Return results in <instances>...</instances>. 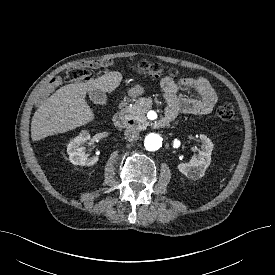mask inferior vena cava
Listing matches in <instances>:
<instances>
[{
	"label": "inferior vena cava",
	"mask_w": 275,
	"mask_h": 275,
	"mask_svg": "<svg viewBox=\"0 0 275 275\" xmlns=\"http://www.w3.org/2000/svg\"><path fill=\"white\" fill-rule=\"evenodd\" d=\"M125 139L129 142L136 141L139 135V128L136 126H128L124 132Z\"/></svg>",
	"instance_id": "inferior-vena-cava-1"
}]
</instances>
